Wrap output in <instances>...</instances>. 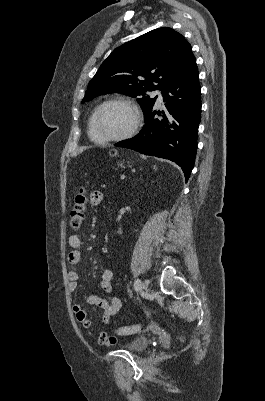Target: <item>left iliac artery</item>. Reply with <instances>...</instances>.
I'll return each mask as SVG.
<instances>
[{"instance_id": "obj_1", "label": "left iliac artery", "mask_w": 265, "mask_h": 401, "mask_svg": "<svg viewBox=\"0 0 265 401\" xmlns=\"http://www.w3.org/2000/svg\"><path fill=\"white\" fill-rule=\"evenodd\" d=\"M141 288V280L137 279L134 283V289L139 290Z\"/></svg>"}]
</instances>
